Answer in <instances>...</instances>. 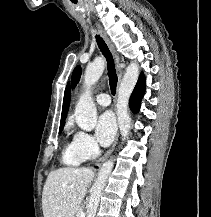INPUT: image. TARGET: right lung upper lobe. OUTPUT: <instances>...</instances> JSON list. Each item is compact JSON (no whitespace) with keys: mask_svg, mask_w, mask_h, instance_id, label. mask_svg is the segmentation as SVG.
<instances>
[{"mask_svg":"<svg viewBox=\"0 0 211 217\" xmlns=\"http://www.w3.org/2000/svg\"><path fill=\"white\" fill-rule=\"evenodd\" d=\"M69 104H70V86L68 84L66 86L65 93H64V101H63V108H62L60 127H63L64 124H65V119H66V116H67Z\"/></svg>","mask_w":211,"mask_h":217,"instance_id":"right-lung-upper-lobe-1","label":"right lung upper lobe"}]
</instances>
